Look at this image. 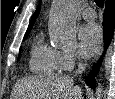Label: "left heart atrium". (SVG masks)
Listing matches in <instances>:
<instances>
[{"label": "left heart atrium", "mask_w": 115, "mask_h": 99, "mask_svg": "<svg viewBox=\"0 0 115 99\" xmlns=\"http://www.w3.org/2000/svg\"><path fill=\"white\" fill-rule=\"evenodd\" d=\"M102 43L101 28L94 23L83 26L79 32V45L84 55L96 53Z\"/></svg>", "instance_id": "left-heart-atrium-1"}]
</instances>
